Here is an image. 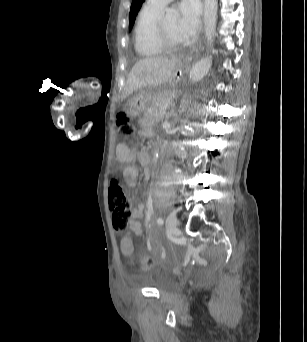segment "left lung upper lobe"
<instances>
[{
	"instance_id": "5c2ea615",
	"label": "left lung upper lobe",
	"mask_w": 307,
	"mask_h": 342,
	"mask_svg": "<svg viewBox=\"0 0 307 342\" xmlns=\"http://www.w3.org/2000/svg\"><path fill=\"white\" fill-rule=\"evenodd\" d=\"M144 1L145 0H133L132 5H131V9H130V13H129V22H130L129 29L132 28L134 21H135V18H136V15L138 14V11L140 10L141 5Z\"/></svg>"
}]
</instances>
